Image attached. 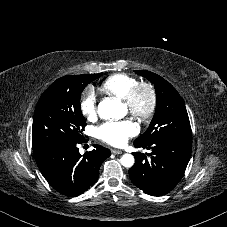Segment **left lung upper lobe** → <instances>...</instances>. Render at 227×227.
I'll use <instances>...</instances> for the list:
<instances>
[{
	"mask_svg": "<svg viewBox=\"0 0 227 227\" xmlns=\"http://www.w3.org/2000/svg\"><path fill=\"white\" fill-rule=\"evenodd\" d=\"M135 73L145 77L154 85L157 103L148 129L134 143L144 145L168 138L192 137L187 110L176 89L153 72L135 70Z\"/></svg>",
	"mask_w": 227,
	"mask_h": 227,
	"instance_id": "left-lung-upper-lobe-1",
	"label": "left lung upper lobe"
}]
</instances>
